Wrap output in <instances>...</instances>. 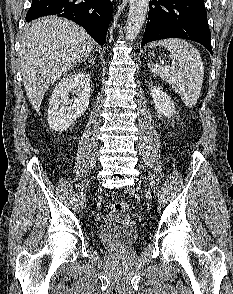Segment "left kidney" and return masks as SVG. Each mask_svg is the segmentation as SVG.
I'll return each instance as SVG.
<instances>
[{
  "instance_id": "left-kidney-1",
  "label": "left kidney",
  "mask_w": 233,
  "mask_h": 294,
  "mask_svg": "<svg viewBox=\"0 0 233 294\" xmlns=\"http://www.w3.org/2000/svg\"><path fill=\"white\" fill-rule=\"evenodd\" d=\"M151 95L158 113L166 117H171L176 113L174 102L160 87L152 88Z\"/></svg>"
}]
</instances>
